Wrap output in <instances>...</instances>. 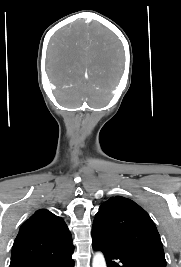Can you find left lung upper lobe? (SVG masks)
Segmentation results:
<instances>
[{
    "instance_id": "5c2ea615",
    "label": "left lung upper lobe",
    "mask_w": 181,
    "mask_h": 267,
    "mask_svg": "<svg viewBox=\"0 0 181 267\" xmlns=\"http://www.w3.org/2000/svg\"><path fill=\"white\" fill-rule=\"evenodd\" d=\"M92 236L112 241L166 267L162 242L154 222L143 208L128 198L111 197L100 206L93 222Z\"/></svg>"
}]
</instances>
